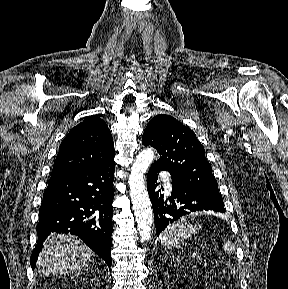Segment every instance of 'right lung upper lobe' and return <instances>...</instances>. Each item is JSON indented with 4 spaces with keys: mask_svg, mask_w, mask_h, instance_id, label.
<instances>
[{
    "mask_svg": "<svg viewBox=\"0 0 288 289\" xmlns=\"http://www.w3.org/2000/svg\"><path fill=\"white\" fill-rule=\"evenodd\" d=\"M114 156L113 138L106 123L96 116L88 117L63 139L51 177L93 169Z\"/></svg>",
    "mask_w": 288,
    "mask_h": 289,
    "instance_id": "right-lung-upper-lobe-1",
    "label": "right lung upper lobe"
}]
</instances>
